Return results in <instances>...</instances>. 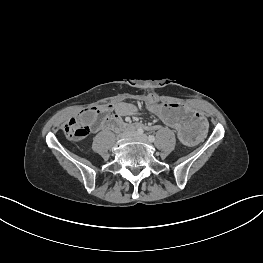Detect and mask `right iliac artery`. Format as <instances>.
<instances>
[{
	"mask_svg": "<svg viewBox=\"0 0 263 263\" xmlns=\"http://www.w3.org/2000/svg\"><path fill=\"white\" fill-rule=\"evenodd\" d=\"M137 133H138V134H143V130H142V129H138V130H137Z\"/></svg>",
	"mask_w": 263,
	"mask_h": 263,
	"instance_id": "right-iliac-artery-1",
	"label": "right iliac artery"
}]
</instances>
